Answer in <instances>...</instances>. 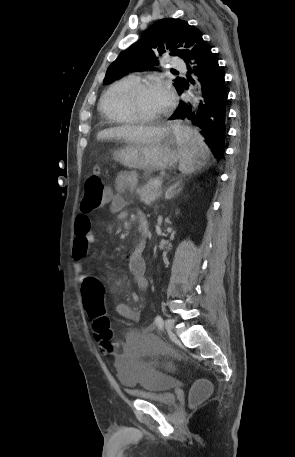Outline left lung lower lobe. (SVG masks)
Masks as SVG:
<instances>
[{
  "mask_svg": "<svg viewBox=\"0 0 295 457\" xmlns=\"http://www.w3.org/2000/svg\"><path fill=\"white\" fill-rule=\"evenodd\" d=\"M189 58L186 61L189 69L188 73L193 72L198 77V81L202 86V100L195 118L191 111V105L188 106L183 101H180L170 120L192 119L193 123L199 126L198 133L203 138V142L211 149L213 156L216 159H221L225 150L226 105L228 103L225 79L218 60L203 38L193 46ZM191 60L194 61L193 64H197L192 68L189 65ZM188 77L192 81L191 76ZM187 87V82H182L181 87L178 89L179 95Z\"/></svg>",
  "mask_w": 295,
  "mask_h": 457,
  "instance_id": "obj_1",
  "label": "left lung lower lobe"
}]
</instances>
